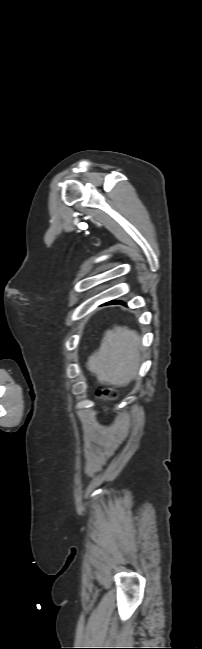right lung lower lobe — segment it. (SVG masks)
<instances>
[{"label":"right lung lower lobe","instance_id":"1","mask_svg":"<svg viewBox=\"0 0 202 649\" xmlns=\"http://www.w3.org/2000/svg\"><path fill=\"white\" fill-rule=\"evenodd\" d=\"M112 303H113V304H114V303H115V304H116V303H117V304H118V303L124 304L123 302H120V301H114V302H111V304H112Z\"/></svg>","mask_w":202,"mask_h":649}]
</instances>
